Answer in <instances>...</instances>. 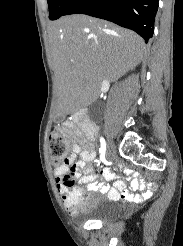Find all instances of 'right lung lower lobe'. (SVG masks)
<instances>
[{
	"mask_svg": "<svg viewBox=\"0 0 183 246\" xmlns=\"http://www.w3.org/2000/svg\"><path fill=\"white\" fill-rule=\"evenodd\" d=\"M157 10L158 0H75L64 15L86 14L112 21L135 31L147 43Z\"/></svg>",
	"mask_w": 183,
	"mask_h": 246,
	"instance_id": "1",
	"label": "right lung lower lobe"
}]
</instances>
